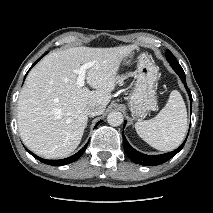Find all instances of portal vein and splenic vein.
Listing matches in <instances>:
<instances>
[{
  "label": "portal vein and splenic vein",
  "instance_id": "18ae733b",
  "mask_svg": "<svg viewBox=\"0 0 213 213\" xmlns=\"http://www.w3.org/2000/svg\"><path fill=\"white\" fill-rule=\"evenodd\" d=\"M91 66H93V63L89 62V63H86V64L80 66V68L78 70H76V73L78 74L77 85L79 87L84 86L85 79H86V70L88 68H90Z\"/></svg>",
  "mask_w": 213,
  "mask_h": 213
}]
</instances>
